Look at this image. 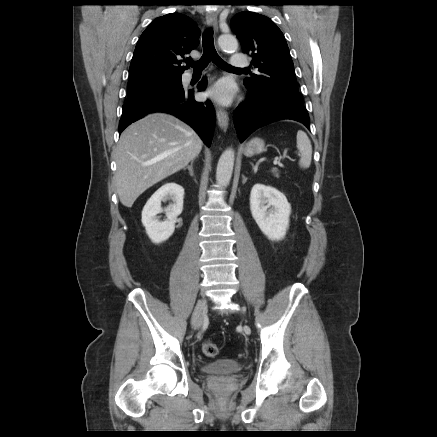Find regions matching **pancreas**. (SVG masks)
<instances>
[{"label":"pancreas","mask_w":437,"mask_h":437,"mask_svg":"<svg viewBox=\"0 0 437 437\" xmlns=\"http://www.w3.org/2000/svg\"><path fill=\"white\" fill-rule=\"evenodd\" d=\"M272 172L275 173V176H276V177H279V175L276 173V172H277L276 169H273Z\"/></svg>","instance_id":"1"}]
</instances>
